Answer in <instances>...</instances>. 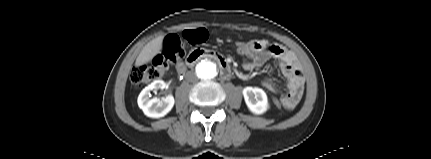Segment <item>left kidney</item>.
Returning <instances> with one entry per match:
<instances>
[{"label": "left kidney", "instance_id": "left-kidney-1", "mask_svg": "<svg viewBox=\"0 0 431 159\" xmlns=\"http://www.w3.org/2000/svg\"><path fill=\"white\" fill-rule=\"evenodd\" d=\"M242 93L245 103L252 113L260 115L269 109L267 95L261 88L245 87Z\"/></svg>", "mask_w": 431, "mask_h": 159}]
</instances>
